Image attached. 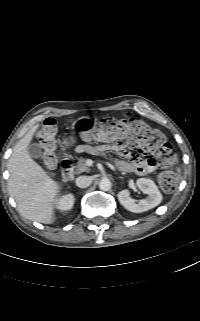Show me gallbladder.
Returning a JSON list of instances; mask_svg holds the SVG:
<instances>
[{"label":"gallbladder","instance_id":"1","mask_svg":"<svg viewBox=\"0 0 200 321\" xmlns=\"http://www.w3.org/2000/svg\"><path fill=\"white\" fill-rule=\"evenodd\" d=\"M28 153L32 158H40L42 156L41 146L37 143L30 144L28 147Z\"/></svg>","mask_w":200,"mask_h":321}]
</instances>
